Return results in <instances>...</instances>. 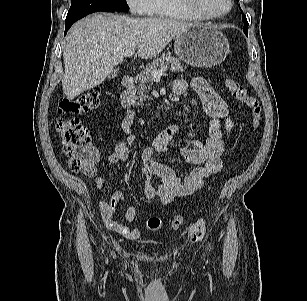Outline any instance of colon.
<instances>
[{
	"instance_id": "1",
	"label": "colon",
	"mask_w": 307,
	"mask_h": 301,
	"mask_svg": "<svg viewBox=\"0 0 307 301\" xmlns=\"http://www.w3.org/2000/svg\"><path fill=\"white\" fill-rule=\"evenodd\" d=\"M224 86L236 101L244 104L250 110V124L255 131L262 121V108L255 96L249 95L246 89L233 78H227ZM100 103L99 88L88 89L73 99H63L58 106V116L55 120L63 150L69 160L71 171L87 176H93L97 172V164L100 160L98 150L92 145L90 133L87 128L76 117V115L87 113L96 109ZM185 219L181 215L173 217L170 221L172 230H179ZM146 226L149 230H159L163 221L158 217L147 220ZM193 234L201 236L205 231V222L200 220L192 226Z\"/></svg>"
}]
</instances>
